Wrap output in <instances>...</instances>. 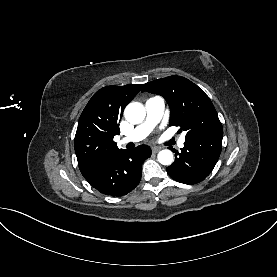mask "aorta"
Masks as SVG:
<instances>
[{
    "mask_svg": "<svg viewBox=\"0 0 277 277\" xmlns=\"http://www.w3.org/2000/svg\"><path fill=\"white\" fill-rule=\"evenodd\" d=\"M124 115L128 122L139 124L144 120L146 112L141 103L133 102L126 106ZM158 161L162 165H171L173 162V153L168 149L161 150L158 153Z\"/></svg>",
    "mask_w": 277,
    "mask_h": 277,
    "instance_id": "obj_1",
    "label": "aorta"
}]
</instances>
